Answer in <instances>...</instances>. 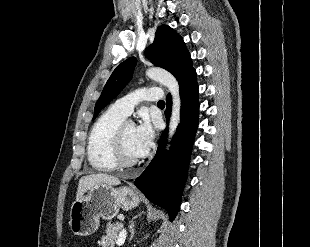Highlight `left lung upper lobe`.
<instances>
[{
  "instance_id": "5c2ea615",
  "label": "left lung upper lobe",
  "mask_w": 310,
  "mask_h": 247,
  "mask_svg": "<svg viewBox=\"0 0 310 247\" xmlns=\"http://www.w3.org/2000/svg\"><path fill=\"white\" fill-rule=\"evenodd\" d=\"M146 53L154 65L169 71L178 82L194 70L183 38L167 25L157 28L154 42L147 48ZM136 62L135 57L128 58L113 71L95 105L93 119L128 84Z\"/></svg>"
}]
</instances>
